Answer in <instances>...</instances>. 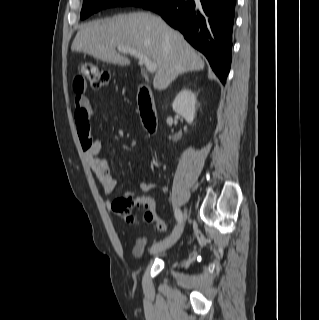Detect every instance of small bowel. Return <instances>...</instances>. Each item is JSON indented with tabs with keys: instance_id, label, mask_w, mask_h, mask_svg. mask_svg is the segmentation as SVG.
<instances>
[{
	"instance_id": "c3829d8e",
	"label": "small bowel",
	"mask_w": 319,
	"mask_h": 320,
	"mask_svg": "<svg viewBox=\"0 0 319 320\" xmlns=\"http://www.w3.org/2000/svg\"><path fill=\"white\" fill-rule=\"evenodd\" d=\"M76 96H75V120L77 124L78 134L80 138V142L84 151V155L88 163L91 165L104 194L110 195L115 190V180L112 175L108 171V163L105 159L98 157V154L103 145L102 138L87 139L80 132V125L84 116L89 118V120L94 116V110L91 106L90 101L85 95V88H77L75 86ZM157 187V183L155 181H147L142 178L139 182V188L142 192H149L152 189ZM143 202L139 206L143 208L145 211H150L155 213V204L154 201L149 197H141Z\"/></svg>"
}]
</instances>
